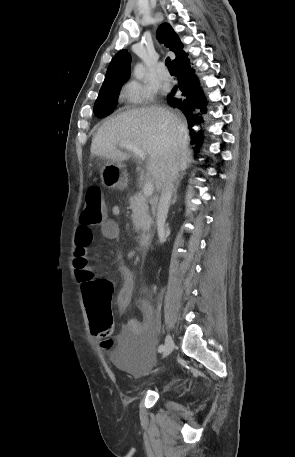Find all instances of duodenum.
Returning <instances> with one entry per match:
<instances>
[{
	"mask_svg": "<svg viewBox=\"0 0 295 457\" xmlns=\"http://www.w3.org/2000/svg\"><path fill=\"white\" fill-rule=\"evenodd\" d=\"M152 237L150 234L145 233L140 237V250L142 254H146L149 250L151 244Z\"/></svg>",
	"mask_w": 295,
	"mask_h": 457,
	"instance_id": "1",
	"label": "duodenum"
}]
</instances>
